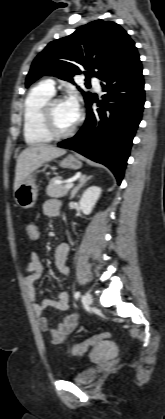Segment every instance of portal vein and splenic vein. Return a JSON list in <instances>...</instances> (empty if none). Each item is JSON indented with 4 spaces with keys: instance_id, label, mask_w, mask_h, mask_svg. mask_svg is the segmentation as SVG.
Masks as SVG:
<instances>
[{
    "instance_id": "portal-vein-and-splenic-vein-1",
    "label": "portal vein and splenic vein",
    "mask_w": 165,
    "mask_h": 419,
    "mask_svg": "<svg viewBox=\"0 0 165 419\" xmlns=\"http://www.w3.org/2000/svg\"><path fill=\"white\" fill-rule=\"evenodd\" d=\"M73 186H74L73 182H68L67 184H65L66 189H71Z\"/></svg>"
}]
</instances>
